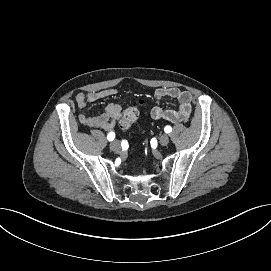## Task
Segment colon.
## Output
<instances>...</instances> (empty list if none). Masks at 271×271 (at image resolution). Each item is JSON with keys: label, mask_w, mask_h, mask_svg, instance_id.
<instances>
[{"label": "colon", "mask_w": 271, "mask_h": 271, "mask_svg": "<svg viewBox=\"0 0 271 271\" xmlns=\"http://www.w3.org/2000/svg\"><path fill=\"white\" fill-rule=\"evenodd\" d=\"M140 109L138 104H133L125 109L120 121V128L127 130L139 117Z\"/></svg>", "instance_id": "5ec220e1"}]
</instances>
